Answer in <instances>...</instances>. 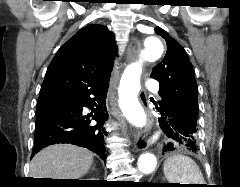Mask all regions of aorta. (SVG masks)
<instances>
[{
	"label": "aorta",
	"instance_id": "aorta-1",
	"mask_svg": "<svg viewBox=\"0 0 240 187\" xmlns=\"http://www.w3.org/2000/svg\"><path fill=\"white\" fill-rule=\"evenodd\" d=\"M164 51L161 39L156 35H149L143 41L141 59L126 67L119 86V106L127 120L137 126L143 127L146 122V116L138 102V93L140 91V76L142 73V62H153L159 59ZM157 159L153 153H144L138 159V169L149 174L155 170Z\"/></svg>",
	"mask_w": 240,
	"mask_h": 187
}]
</instances>
